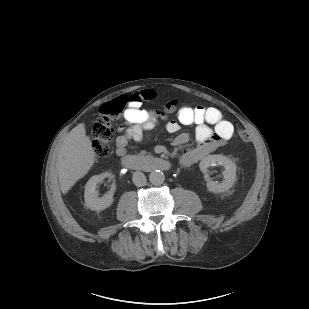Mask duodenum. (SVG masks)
<instances>
[{"instance_id":"1","label":"duodenum","mask_w":309,"mask_h":309,"mask_svg":"<svg viewBox=\"0 0 309 309\" xmlns=\"http://www.w3.org/2000/svg\"><path fill=\"white\" fill-rule=\"evenodd\" d=\"M121 164L129 170L167 171L170 169V163L167 160L155 156L137 159L126 155L121 159Z\"/></svg>"}]
</instances>
